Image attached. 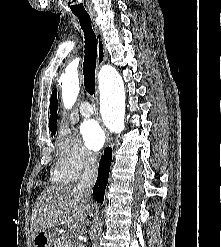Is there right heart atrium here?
<instances>
[{
  "mask_svg": "<svg viewBox=\"0 0 221 247\" xmlns=\"http://www.w3.org/2000/svg\"><path fill=\"white\" fill-rule=\"evenodd\" d=\"M95 160L79 138L68 129H61L56 146V165L54 178L57 181L70 183L76 181L89 170Z\"/></svg>",
  "mask_w": 221,
  "mask_h": 247,
  "instance_id": "d8ad5b80",
  "label": "right heart atrium"
}]
</instances>
